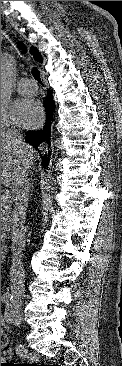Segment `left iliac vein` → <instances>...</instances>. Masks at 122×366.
<instances>
[{"label":"left iliac vein","mask_w":122,"mask_h":366,"mask_svg":"<svg viewBox=\"0 0 122 366\" xmlns=\"http://www.w3.org/2000/svg\"><path fill=\"white\" fill-rule=\"evenodd\" d=\"M11 320L13 321V323H14L15 325H19V324H20L21 319H20V317H19V312H18V310L13 312V316H12Z\"/></svg>","instance_id":"4c4485c4"}]
</instances>
